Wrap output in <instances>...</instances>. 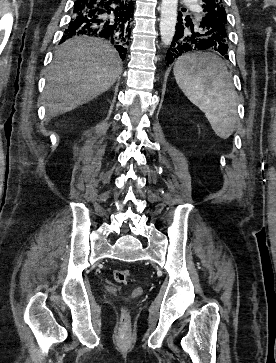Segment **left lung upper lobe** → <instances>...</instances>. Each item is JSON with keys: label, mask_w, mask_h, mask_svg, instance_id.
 Here are the masks:
<instances>
[{"label": "left lung upper lobe", "mask_w": 276, "mask_h": 363, "mask_svg": "<svg viewBox=\"0 0 276 363\" xmlns=\"http://www.w3.org/2000/svg\"><path fill=\"white\" fill-rule=\"evenodd\" d=\"M203 15L208 14L220 25V36L228 44L227 14L222 0H201Z\"/></svg>", "instance_id": "left-lung-upper-lobe-1"}]
</instances>
